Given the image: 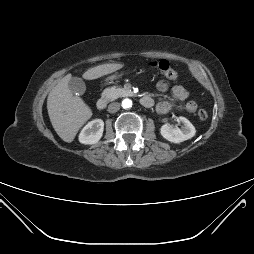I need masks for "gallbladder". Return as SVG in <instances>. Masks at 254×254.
<instances>
[{
  "instance_id": "obj_1",
  "label": "gallbladder",
  "mask_w": 254,
  "mask_h": 254,
  "mask_svg": "<svg viewBox=\"0 0 254 254\" xmlns=\"http://www.w3.org/2000/svg\"><path fill=\"white\" fill-rule=\"evenodd\" d=\"M68 87L73 94L82 95L86 90L85 83L81 78L71 77L68 82Z\"/></svg>"
}]
</instances>
